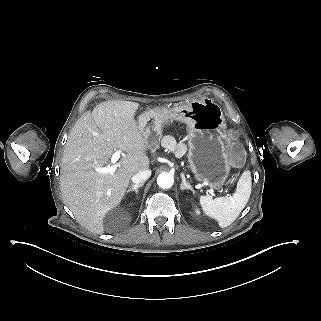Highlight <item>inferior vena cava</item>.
Returning <instances> with one entry per match:
<instances>
[{"label":"inferior vena cava","mask_w":321,"mask_h":321,"mask_svg":"<svg viewBox=\"0 0 321 321\" xmlns=\"http://www.w3.org/2000/svg\"><path fill=\"white\" fill-rule=\"evenodd\" d=\"M151 176V170L147 169L142 172H138L134 174L131 178L132 182L136 185L144 183L146 180H148Z\"/></svg>","instance_id":"1"}]
</instances>
